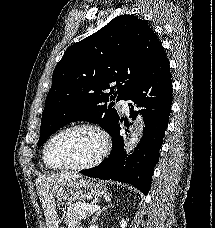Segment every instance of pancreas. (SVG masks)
Here are the masks:
<instances>
[{
	"label": "pancreas",
	"mask_w": 215,
	"mask_h": 228,
	"mask_svg": "<svg viewBox=\"0 0 215 228\" xmlns=\"http://www.w3.org/2000/svg\"><path fill=\"white\" fill-rule=\"evenodd\" d=\"M92 214L94 212L90 214V212H85V210L84 212L83 210H76V206H69L64 222L68 228H83L82 224H80L81 220H87Z\"/></svg>",
	"instance_id": "cf45deb5"
}]
</instances>
